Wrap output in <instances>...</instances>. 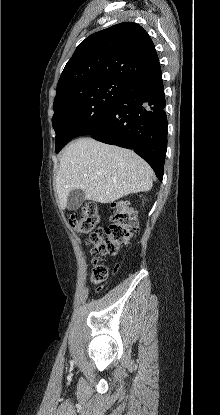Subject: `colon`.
Wrapping results in <instances>:
<instances>
[{
	"label": "colon",
	"mask_w": 220,
	"mask_h": 415,
	"mask_svg": "<svg viewBox=\"0 0 220 415\" xmlns=\"http://www.w3.org/2000/svg\"><path fill=\"white\" fill-rule=\"evenodd\" d=\"M102 219V213L94 203L85 204L80 213L67 218L68 225L74 232L87 236V243L96 256L91 272V281L95 285L104 284L109 275L108 267L100 263L99 258L116 256L138 229L135 212L123 200L112 205L110 223L105 228H100Z\"/></svg>",
	"instance_id": "5ec220e1"
}]
</instances>
